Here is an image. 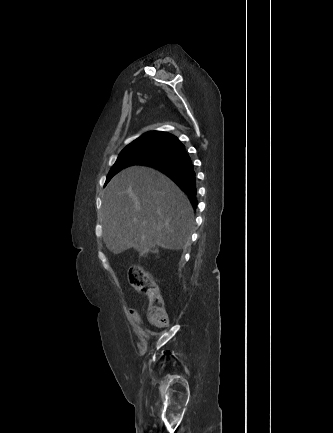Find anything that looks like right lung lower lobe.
I'll return each instance as SVG.
<instances>
[{"label":"right lung lower lobe","instance_id":"98d812e1","mask_svg":"<svg viewBox=\"0 0 333 433\" xmlns=\"http://www.w3.org/2000/svg\"><path fill=\"white\" fill-rule=\"evenodd\" d=\"M163 145L170 148L172 151L165 157L142 165L156 168L166 174L187 193L191 204L196 208V174L185 146L173 137H169Z\"/></svg>","mask_w":333,"mask_h":433}]
</instances>
